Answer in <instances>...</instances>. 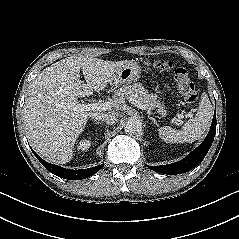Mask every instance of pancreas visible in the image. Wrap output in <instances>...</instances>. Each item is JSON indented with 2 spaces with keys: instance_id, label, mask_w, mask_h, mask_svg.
I'll use <instances>...</instances> for the list:
<instances>
[{
  "instance_id": "1",
  "label": "pancreas",
  "mask_w": 239,
  "mask_h": 239,
  "mask_svg": "<svg viewBox=\"0 0 239 239\" xmlns=\"http://www.w3.org/2000/svg\"><path fill=\"white\" fill-rule=\"evenodd\" d=\"M134 99L146 107L153 109L156 102V96L149 94L148 91L140 84L128 85L114 91L113 103L119 105L125 100Z\"/></svg>"
}]
</instances>
